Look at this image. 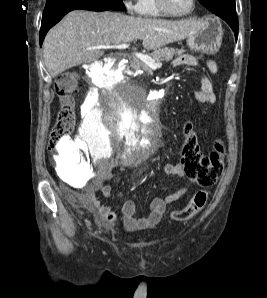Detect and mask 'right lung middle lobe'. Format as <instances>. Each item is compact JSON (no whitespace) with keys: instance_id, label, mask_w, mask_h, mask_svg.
<instances>
[{"instance_id":"obj_1","label":"right lung middle lobe","mask_w":267,"mask_h":298,"mask_svg":"<svg viewBox=\"0 0 267 298\" xmlns=\"http://www.w3.org/2000/svg\"><path fill=\"white\" fill-rule=\"evenodd\" d=\"M71 0H47L43 15L50 13L54 8ZM99 3L100 5L111 7L114 10H125L122 0H88Z\"/></svg>"}]
</instances>
